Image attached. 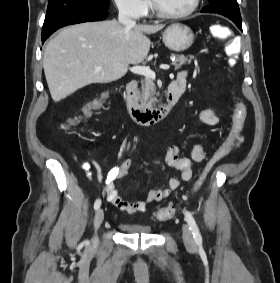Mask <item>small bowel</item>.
<instances>
[{
	"mask_svg": "<svg viewBox=\"0 0 280 283\" xmlns=\"http://www.w3.org/2000/svg\"><path fill=\"white\" fill-rule=\"evenodd\" d=\"M176 81L181 86L183 91L186 83L185 73L179 74ZM200 121L205 125L213 126L218 123L219 119L212 110L206 109L200 113ZM242 129L243 125L237 126L233 122L232 131L229 137L220 146L218 151L224 149L225 153H227L233 148L238 147L243 141ZM207 158L208 153L202 145H195L192 148L189 157L181 155L178 146H169L165 155L166 162L169 166L179 170L180 176L170 178L167 188L150 190L145 200L126 201L122 199L116 189L115 181L125 177L132 167V161L130 159L123 160L118 166L109 171L102 188L107 201L117 207L119 210L129 214L144 213L147 210L148 204L159 202L165 199L172 191L176 190L180 186L181 181L189 182L193 177L194 164L203 162ZM91 166L92 163L88 160L82 163V167L86 171H89Z\"/></svg>",
	"mask_w": 280,
	"mask_h": 283,
	"instance_id": "1",
	"label": "small bowel"
}]
</instances>
